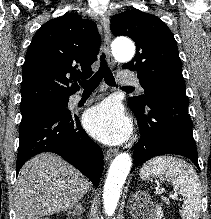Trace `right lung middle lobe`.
Returning <instances> with one entry per match:
<instances>
[{"instance_id":"right-lung-middle-lobe-1","label":"right lung middle lobe","mask_w":211,"mask_h":219,"mask_svg":"<svg viewBox=\"0 0 211 219\" xmlns=\"http://www.w3.org/2000/svg\"><path fill=\"white\" fill-rule=\"evenodd\" d=\"M68 101L69 99H59V100H42L31 103H26L20 105V110L22 114V119H25L34 114L51 110V109H62L68 110Z\"/></svg>"}]
</instances>
